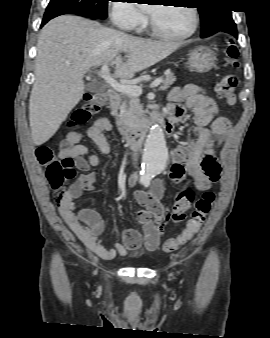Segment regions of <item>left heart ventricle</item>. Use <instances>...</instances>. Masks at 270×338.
<instances>
[{"label":"left heart ventricle","mask_w":270,"mask_h":338,"mask_svg":"<svg viewBox=\"0 0 270 338\" xmlns=\"http://www.w3.org/2000/svg\"><path fill=\"white\" fill-rule=\"evenodd\" d=\"M149 13L157 28L168 34H183L193 25L191 11L187 7L150 5Z\"/></svg>","instance_id":"1"}]
</instances>
